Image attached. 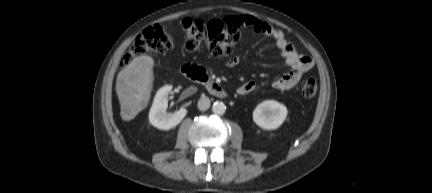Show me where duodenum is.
Wrapping results in <instances>:
<instances>
[{
  "mask_svg": "<svg viewBox=\"0 0 432 193\" xmlns=\"http://www.w3.org/2000/svg\"><path fill=\"white\" fill-rule=\"evenodd\" d=\"M181 73L190 80L203 84L208 92L217 97L225 98L227 91L224 87L212 81L205 69L197 65H184L181 67Z\"/></svg>",
  "mask_w": 432,
  "mask_h": 193,
  "instance_id": "1",
  "label": "duodenum"
}]
</instances>
